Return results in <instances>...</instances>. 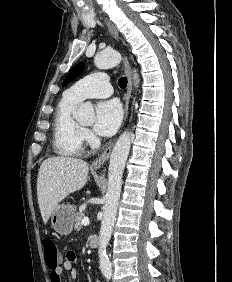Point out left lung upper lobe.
Returning a JSON list of instances; mask_svg holds the SVG:
<instances>
[{"mask_svg": "<svg viewBox=\"0 0 232 282\" xmlns=\"http://www.w3.org/2000/svg\"><path fill=\"white\" fill-rule=\"evenodd\" d=\"M84 68V64L80 63L78 65H76L68 74V76L66 77L63 86H65L66 84H68L70 81H72L74 78H76L78 75L81 74L82 70Z\"/></svg>", "mask_w": 232, "mask_h": 282, "instance_id": "5c2ea615", "label": "left lung upper lobe"}]
</instances>
